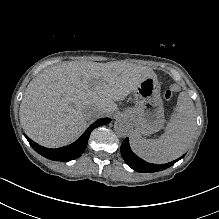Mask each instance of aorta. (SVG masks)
<instances>
[{
  "label": "aorta",
  "mask_w": 219,
  "mask_h": 219,
  "mask_svg": "<svg viewBox=\"0 0 219 219\" xmlns=\"http://www.w3.org/2000/svg\"><path fill=\"white\" fill-rule=\"evenodd\" d=\"M114 131L120 137H127L132 131L131 123L125 118H119L114 123Z\"/></svg>",
  "instance_id": "1"
}]
</instances>
